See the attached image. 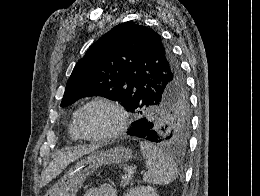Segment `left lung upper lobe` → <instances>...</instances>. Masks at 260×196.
Returning <instances> with one entry per match:
<instances>
[{"label":"left lung upper lobe","instance_id":"left-lung-upper-lobe-1","mask_svg":"<svg viewBox=\"0 0 260 196\" xmlns=\"http://www.w3.org/2000/svg\"><path fill=\"white\" fill-rule=\"evenodd\" d=\"M88 96L121 102L152 123L159 143L187 147L191 114L185 82L170 47L153 29L124 22L87 50L66 84L61 107Z\"/></svg>","mask_w":260,"mask_h":196}]
</instances>
